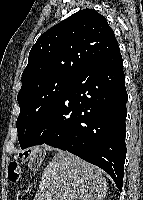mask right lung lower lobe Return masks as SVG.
Segmentation results:
<instances>
[{
	"label": "right lung lower lobe",
	"mask_w": 143,
	"mask_h": 200,
	"mask_svg": "<svg viewBox=\"0 0 143 200\" xmlns=\"http://www.w3.org/2000/svg\"><path fill=\"white\" fill-rule=\"evenodd\" d=\"M127 98L118 47L72 78L25 147L47 144L67 150L105 170L121 191Z\"/></svg>",
	"instance_id": "98d812e1"
}]
</instances>
